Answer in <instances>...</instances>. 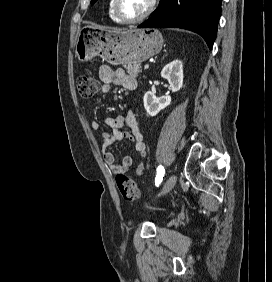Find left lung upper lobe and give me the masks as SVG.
I'll return each instance as SVG.
<instances>
[{"instance_id":"left-lung-upper-lobe-1","label":"left lung upper lobe","mask_w":272,"mask_h":282,"mask_svg":"<svg viewBox=\"0 0 272 282\" xmlns=\"http://www.w3.org/2000/svg\"><path fill=\"white\" fill-rule=\"evenodd\" d=\"M97 0H91V4H94Z\"/></svg>"}]
</instances>
